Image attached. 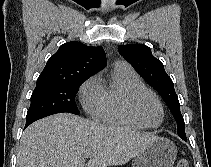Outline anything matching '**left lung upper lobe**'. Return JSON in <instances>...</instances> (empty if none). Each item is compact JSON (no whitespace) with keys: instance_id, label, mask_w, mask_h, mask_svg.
Masks as SVG:
<instances>
[{"instance_id":"left-lung-upper-lobe-1","label":"left lung upper lobe","mask_w":211,"mask_h":167,"mask_svg":"<svg viewBox=\"0 0 211 167\" xmlns=\"http://www.w3.org/2000/svg\"><path fill=\"white\" fill-rule=\"evenodd\" d=\"M118 50L135 70L158 91L177 121V134L180 137H186L178 97L162 62L152 55L149 47L143 44L120 45Z\"/></svg>"}]
</instances>
